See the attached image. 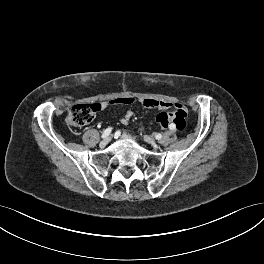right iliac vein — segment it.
<instances>
[{
  "label": "right iliac vein",
  "instance_id": "obj_1",
  "mask_svg": "<svg viewBox=\"0 0 264 264\" xmlns=\"http://www.w3.org/2000/svg\"><path fill=\"white\" fill-rule=\"evenodd\" d=\"M113 139L112 135L107 136L106 138H104L102 141L104 142H110Z\"/></svg>",
  "mask_w": 264,
  "mask_h": 264
}]
</instances>
